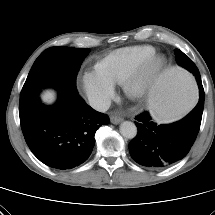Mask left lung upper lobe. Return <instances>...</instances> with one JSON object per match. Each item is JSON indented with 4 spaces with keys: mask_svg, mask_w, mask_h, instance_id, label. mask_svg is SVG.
<instances>
[{
    "mask_svg": "<svg viewBox=\"0 0 215 215\" xmlns=\"http://www.w3.org/2000/svg\"><path fill=\"white\" fill-rule=\"evenodd\" d=\"M175 54H176L177 63L180 66L186 68L191 73H193L198 83V80H201V77H200L199 70L194 64V62L179 49L175 50Z\"/></svg>",
    "mask_w": 215,
    "mask_h": 215,
    "instance_id": "obj_1",
    "label": "left lung upper lobe"
}]
</instances>
